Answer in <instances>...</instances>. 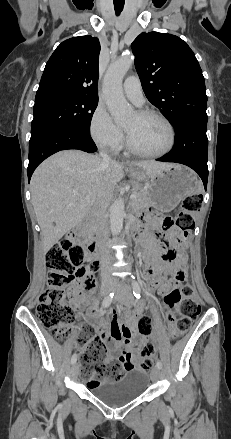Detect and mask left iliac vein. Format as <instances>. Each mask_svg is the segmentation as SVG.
Returning a JSON list of instances; mask_svg holds the SVG:
<instances>
[{
    "instance_id": "1",
    "label": "left iliac vein",
    "mask_w": 231,
    "mask_h": 439,
    "mask_svg": "<svg viewBox=\"0 0 231 439\" xmlns=\"http://www.w3.org/2000/svg\"><path fill=\"white\" fill-rule=\"evenodd\" d=\"M116 289L119 291V295L116 297V300L126 307H131L134 303L131 288L126 283L121 282L116 284ZM159 376L160 369L158 367H154L151 371V380L156 381Z\"/></svg>"
}]
</instances>
